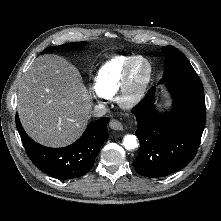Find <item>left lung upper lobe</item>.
Masks as SVG:
<instances>
[{"mask_svg":"<svg viewBox=\"0 0 221 221\" xmlns=\"http://www.w3.org/2000/svg\"><path fill=\"white\" fill-rule=\"evenodd\" d=\"M166 55L162 82L184 75L196 73L187 58L173 46L163 47Z\"/></svg>","mask_w":221,"mask_h":221,"instance_id":"obj_1","label":"left lung upper lobe"}]
</instances>
